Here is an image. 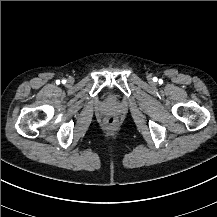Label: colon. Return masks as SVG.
I'll list each match as a JSON object with an SVG mask.
<instances>
[{"label":"colon","instance_id":"colon-1","mask_svg":"<svg viewBox=\"0 0 217 217\" xmlns=\"http://www.w3.org/2000/svg\"><path fill=\"white\" fill-rule=\"evenodd\" d=\"M115 122H116V119H115L114 117H109V118L107 119V124H108L109 126H114V125H115Z\"/></svg>","mask_w":217,"mask_h":217}]
</instances>
